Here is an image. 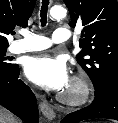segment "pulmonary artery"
<instances>
[{"mask_svg":"<svg viewBox=\"0 0 118 123\" xmlns=\"http://www.w3.org/2000/svg\"><path fill=\"white\" fill-rule=\"evenodd\" d=\"M70 38V32L64 27L57 28L51 39L35 33L24 32L23 38L14 42L10 47V52L13 54L33 52L44 50L54 43L67 41Z\"/></svg>","mask_w":118,"mask_h":123,"instance_id":"e3ab8cb5","label":"pulmonary artery"}]
</instances>
